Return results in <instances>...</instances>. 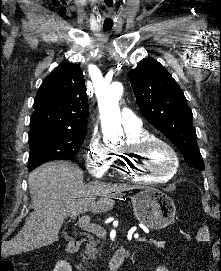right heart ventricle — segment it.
Instances as JSON below:
<instances>
[{"instance_id": "e07e8e85", "label": "right heart ventricle", "mask_w": 221, "mask_h": 271, "mask_svg": "<svg viewBox=\"0 0 221 271\" xmlns=\"http://www.w3.org/2000/svg\"><path fill=\"white\" fill-rule=\"evenodd\" d=\"M151 133L148 131H141L129 135L125 144H147ZM121 179H128V174H121ZM131 179L134 183H171L170 174H131Z\"/></svg>"}]
</instances>
